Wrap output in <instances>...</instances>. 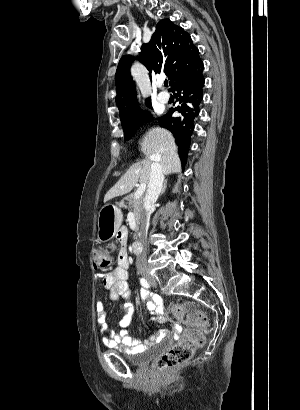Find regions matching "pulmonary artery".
I'll list each match as a JSON object with an SVG mask.
<instances>
[{"mask_svg": "<svg viewBox=\"0 0 300 410\" xmlns=\"http://www.w3.org/2000/svg\"><path fill=\"white\" fill-rule=\"evenodd\" d=\"M161 86L162 85L159 84V87H161ZM169 98H170L169 94L166 91H163V90L158 95V100L162 104H166L169 101Z\"/></svg>", "mask_w": 300, "mask_h": 410, "instance_id": "pulmonary-artery-1", "label": "pulmonary artery"}]
</instances>
